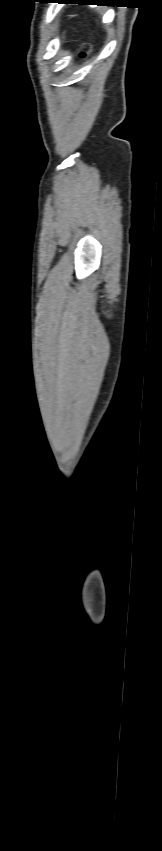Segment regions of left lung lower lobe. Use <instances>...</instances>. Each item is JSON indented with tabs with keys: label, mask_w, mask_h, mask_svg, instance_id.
<instances>
[{
	"label": "left lung lower lobe",
	"mask_w": 162,
	"mask_h": 851,
	"mask_svg": "<svg viewBox=\"0 0 162 851\" xmlns=\"http://www.w3.org/2000/svg\"><path fill=\"white\" fill-rule=\"evenodd\" d=\"M97 1H99V0H68V1H62V2H59V3H77L79 5H84L87 2H97Z\"/></svg>",
	"instance_id": "0a47b994"
}]
</instances>
